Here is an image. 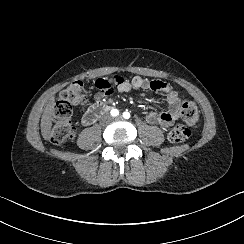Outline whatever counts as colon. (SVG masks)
<instances>
[{
  "mask_svg": "<svg viewBox=\"0 0 244 244\" xmlns=\"http://www.w3.org/2000/svg\"><path fill=\"white\" fill-rule=\"evenodd\" d=\"M87 97L85 85L82 81L71 82L59 94L55 104L54 128L51 133V142L60 145L75 136V125L71 120V106L83 101ZM182 123L175 126L170 132V139L174 143L185 142L191 128L199 121L200 111L197 105L184 99L179 107Z\"/></svg>",
  "mask_w": 244,
  "mask_h": 244,
  "instance_id": "colon-1",
  "label": "colon"
}]
</instances>
